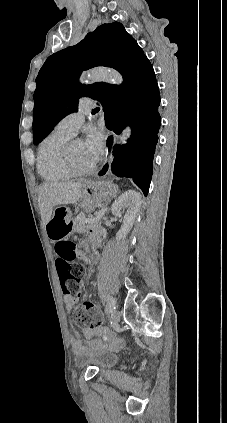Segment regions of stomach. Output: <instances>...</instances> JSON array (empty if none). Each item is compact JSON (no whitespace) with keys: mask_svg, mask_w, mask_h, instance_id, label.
Returning a JSON list of instances; mask_svg holds the SVG:
<instances>
[{"mask_svg":"<svg viewBox=\"0 0 227 423\" xmlns=\"http://www.w3.org/2000/svg\"><path fill=\"white\" fill-rule=\"evenodd\" d=\"M117 192V186H114L111 182H88L83 186L79 206L86 211L94 210L96 204L112 200Z\"/></svg>","mask_w":227,"mask_h":423,"instance_id":"obj_1","label":"stomach"}]
</instances>
